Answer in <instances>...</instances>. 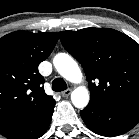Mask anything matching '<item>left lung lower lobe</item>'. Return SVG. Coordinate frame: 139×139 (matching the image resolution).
<instances>
[{"label":"left lung lower lobe","mask_w":139,"mask_h":139,"mask_svg":"<svg viewBox=\"0 0 139 139\" xmlns=\"http://www.w3.org/2000/svg\"><path fill=\"white\" fill-rule=\"evenodd\" d=\"M80 114L94 133L107 137L118 136L138 123L139 100L109 107L89 103Z\"/></svg>","instance_id":"0a47b994"}]
</instances>
